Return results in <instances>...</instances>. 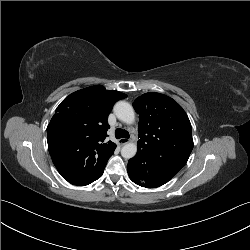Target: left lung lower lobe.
Wrapping results in <instances>:
<instances>
[{
  "instance_id": "left-lung-lower-lobe-1",
  "label": "left lung lower lobe",
  "mask_w": 250,
  "mask_h": 250,
  "mask_svg": "<svg viewBox=\"0 0 250 250\" xmlns=\"http://www.w3.org/2000/svg\"><path fill=\"white\" fill-rule=\"evenodd\" d=\"M127 171L135 184L155 188L168 182L179 170L153 163L146 155L137 151V154L128 161Z\"/></svg>"
}]
</instances>
